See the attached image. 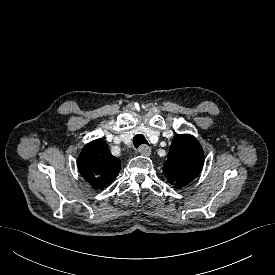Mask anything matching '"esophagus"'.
Instances as JSON below:
<instances>
[{
    "mask_svg": "<svg viewBox=\"0 0 275 275\" xmlns=\"http://www.w3.org/2000/svg\"><path fill=\"white\" fill-rule=\"evenodd\" d=\"M138 151L143 156H149L151 154V148L145 144L141 145Z\"/></svg>",
    "mask_w": 275,
    "mask_h": 275,
    "instance_id": "34e87169",
    "label": "esophagus"
}]
</instances>
